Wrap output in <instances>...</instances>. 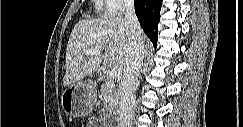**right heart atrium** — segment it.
Masks as SVG:
<instances>
[{"instance_id": "1", "label": "right heart atrium", "mask_w": 243, "mask_h": 127, "mask_svg": "<svg viewBox=\"0 0 243 127\" xmlns=\"http://www.w3.org/2000/svg\"><path fill=\"white\" fill-rule=\"evenodd\" d=\"M106 3L110 15L123 14L133 5L131 0H106Z\"/></svg>"}]
</instances>
